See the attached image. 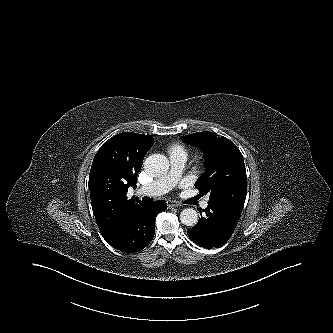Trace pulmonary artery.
Returning a JSON list of instances; mask_svg holds the SVG:
<instances>
[{
	"mask_svg": "<svg viewBox=\"0 0 333 333\" xmlns=\"http://www.w3.org/2000/svg\"><path fill=\"white\" fill-rule=\"evenodd\" d=\"M187 156L181 153L170 155L171 170L164 177L155 180L139 189L138 193L147 196H159L167 193L181 177ZM209 198L202 202V208H207Z\"/></svg>",
	"mask_w": 333,
	"mask_h": 333,
	"instance_id": "e3ab8cb5",
	"label": "pulmonary artery"
}]
</instances>
